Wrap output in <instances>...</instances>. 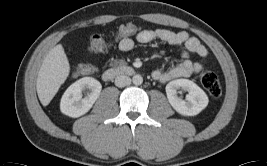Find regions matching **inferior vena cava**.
<instances>
[{
    "instance_id": "obj_1",
    "label": "inferior vena cava",
    "mask_w": 267,
    "mask_h": 166,
    "mask_svg": "<svg viewBox=\"0 0 267 166\" xmlns=\"http://www.w3.org/2000/svg\"><path fill=\"white\" fill-rule=\"evenodd\" d=\"M131 83L130 77L126 75H120L115 78V85L117 87H124Z\"/></svg>"
}]
</instances>
